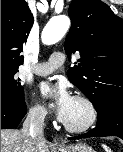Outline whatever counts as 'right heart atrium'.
<instances>
[{
	"label": "right heart atrium",
	"instance_id": "obj_1",
	"mask_svg": "<svg viewBox=\"0 0 123 152\" xmlns=\"http://www.w3.org/2000/svg\"><path fill=\"white\" fill-rule=\"evenodd\" d=\"M29 117L36 122H44L47 118V112L39 105H31L28 109Z\"/></svg>",
	"mask_w": 123,
	"mask_h": 152
}]
</instances>
